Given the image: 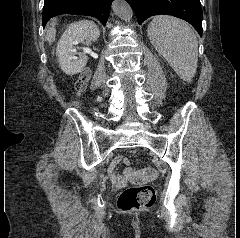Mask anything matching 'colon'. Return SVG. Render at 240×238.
<instances>
[{
  "label": "colon",
  "mask_w": 240,
  "mask_h": 238,
  "mask_svg": "<svg viewBox=\"0 0 240 238\" xmlns=\"http://www.w3.org/2000/svg\"><path fill=\"white\" fill-rule=\"evenodd\" d=\"M89 79V72L83 71L76 83V90L82 92ZM124 177L134 183L142 184L157 177L155 168L148 167L141 170L127 168ZM155 191L150 185H138L124 189L118 197L117 206L122 212H137L147 209L154 204Z\"/></svg>",
  "instance_id": "colon-1"
}]
</instances>
